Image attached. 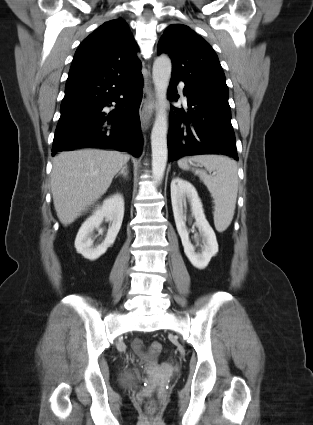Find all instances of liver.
Masks as SVG:
<instances>
[{
  "label": "liver",
  "instance_id": "6515ba94",
  "mask_svg": "<svg viewBox=\"0 0 313 425\" xmlns=\"http://www.w3.org/2000/svg\"><path fill=\"white\" fill-rule=\"evenodd\" d=\"M130 156L117 151L84 149L53 159L51 191L60 222L67 226L93 205Z\"/></svg>",
  "mask_w": 313,
  "mask_h": 425
}]
</instances>
